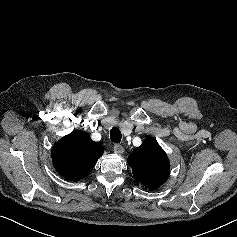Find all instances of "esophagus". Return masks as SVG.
<instances>
[{"label": "esophagus", "mask_w": 237, "mask_h": 237, "mask_svg": "<svg viewBox=\"0 0 237 237\" xmlns=\"http://www.w3.org/2000/svg\"><path fill=\"white\" fill-rule=\"evenodd\" d=\"M114 152L117 154H122L124 153V148L120 144H115L114 145Z\"/></svg>", "instance_id": "obj_1"}]
</instances>
